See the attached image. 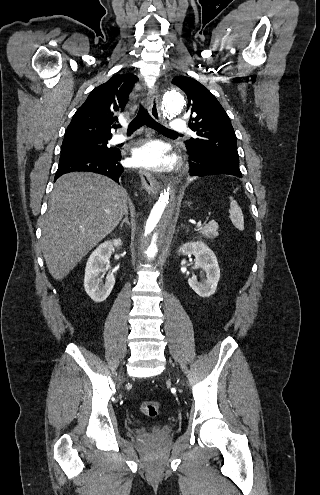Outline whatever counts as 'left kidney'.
I'll use <instances>...</instances> for the list:
<instances>
[{
  "instance_id": "left-kidney-1",
  "label": "left kidney",
  "mask_w": 320,
  "mask_h": 495,
  "mask_svg": "<svg viewBox=\"0 0 320 495\" xmlns=\"http://www.w3.org/2000/svg\"><path fill=\"white\" fill-rule=\"evenodd\" d=\"M183 255L195 256V266L200 267L206 273V278L201 282L196 277L188 279L189 286L201 297H209L214 294L220 279V268L213 251L203 242L186 243L179 249Z\"/></svg>"
}]
</instances>
